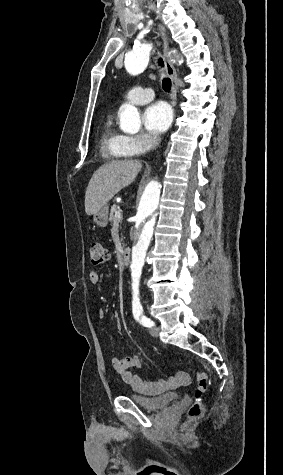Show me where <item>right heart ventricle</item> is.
<instances>
[{
	"label": "right heart ventricle",
	"mask_w": 283,
	"mask_h": 475,
	"mask_svg": "<svg viewBox=\"0 0 283 475\" xmlns=\"http://www.w3.org/2000/svg\"><path fill=\"white\" fill-rule=\"evenodd\" d=\"M122 135L112 118L105 119L100 128V145L109 160H121L125 155L121 149Z\"/></svg>",
	"instance_id": "obj_1"
}]
</instances>
